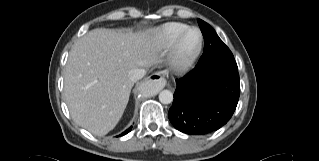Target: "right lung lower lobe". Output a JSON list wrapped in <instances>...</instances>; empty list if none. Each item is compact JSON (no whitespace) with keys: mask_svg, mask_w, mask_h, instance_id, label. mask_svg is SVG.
Masks as SVG:
<instances>
[{"mask_svg":"<svg viewBox=\"0 0 319 161\" xmlns=\"http://www.w3.org/2000/svg\"><path fill=\"white\" fill-rule=\"evenodd\" d=\"M131 129H132V126L131 127H129L125 132H123L122 134H121V136L122 135H125V134H127L128 132H130L131 131Z\"/></svg>","mask_w":319,"mask_h":161,"instance_id":"98d812e1","label":"right lung lower lobe"}]
</instances>
